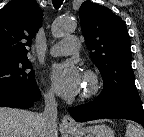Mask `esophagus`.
Wrapping results in <instances>:
<instances>
[{
	"label": "esophagus",
	"instance_id": "esophagus-1",
	"mask_svg": "<svg viewBox=\"0 0 144 137\" xmlns=\"http://www.w3.org/2000/svg\"><path fill=\"white\" fill-rule=\"evenodd\" d=\"M62 126L66 130H75L79 128V125L77 124V122L70 115H65L63 117Z\"/></svg>",
	"mask_w": 144,
	"mask_h": 137
}]
</instances>
